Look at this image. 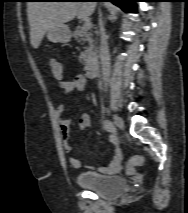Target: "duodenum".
<instances>
[{"label": "duodenum", "mask_w": 188, "mask_h": 213, "mask_svg": "<svg viewBox=\"0 0 188 213\" xmlns=\"http://www.w3.org/2000/svg\"><path fill=\"white\" fill-rule=\"evenodd\" d=\"M85 73L88 78H95L99 73V62L97 60H89L85 65Z\"/></svg>", "instance_id": "obj_1"}]
</instances>
